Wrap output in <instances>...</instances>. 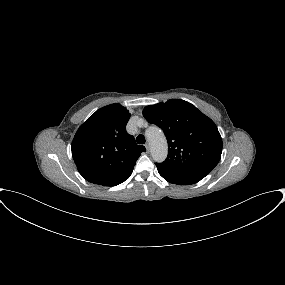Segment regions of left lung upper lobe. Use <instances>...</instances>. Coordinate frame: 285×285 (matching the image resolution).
<instances>
[{
	"label": "left lung upper lobe",
	"mask_w": 285,
	"mask_h": 285,
	"mask_svg": "<svg viewBox=\"0 0 285 285\" xmlns=\"http://www.w3.org/2000/svg\"><path fill=\"white\" fill-rule=\"evenodd\" d=\"M145 119L167 137L168 156L156 163L166 175L203 179L218 164L222 138L215 123L191 103L171 99L144 108Z\"/></svg>",
	"instance_id": "obj_1"
}]
</instances>
